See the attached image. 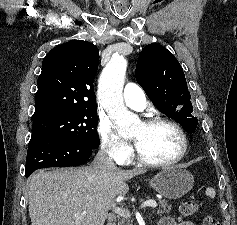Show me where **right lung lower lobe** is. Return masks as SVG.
<instances>
[{
	"instance_id": "1",
	"label": "right lung lower lobe",
	"mask_w": 237,
	"mask_h": 225,
	"mask_svg": "<svg viewBox=\"0 0 237 225\" xmlns=\"http://www.w3.org/2000/svg\"><path fill=\"white\" fill-rule=\"evenodd\" d=\"M93 150L61 137L33 133L27 151L25 176L41 168L82 165Z\"/></svg>"
}]
</instances>
